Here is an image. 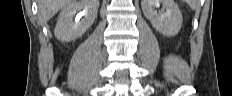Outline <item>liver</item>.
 Returning a JSON list of instances; mask_svg holds the SVG:
<instances>
[{"mask_svg":"<svg viewBox=\"0 0 232 96\" xmlns=\"http://www.w3.org/2000/svg\"><path fill=\"white\" fill-rule=\"evenodd\" d=\"M72 0H38L39 18L42 23H47L60 9Z\"/></svg>","mask_w":232,"mask_h":96,"instance_id":"liver-1","label":"liver"}]
</instances>
